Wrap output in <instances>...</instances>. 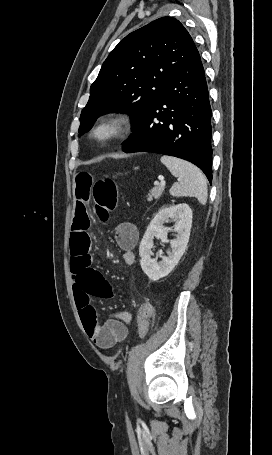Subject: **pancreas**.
Wrapping results in <instances>:
<instances>
[{
  "label": "pancreas",
  "instance_id": "pancreas-1",
  "mask_svg": "<svg viewBox=\"0 0 272 455\" xmlns=\"http://www.w3.org/2000/svg\"><path fill=\"white\" fill-rule=\"evenodd\" d=\"M164 191V187L160 185L151 189L150 193L148 194L147 200L152 201L153 199H158Z\"/></svg>",
  "mask_w": 272,
  "mask_h": 455
}]
</instances>
